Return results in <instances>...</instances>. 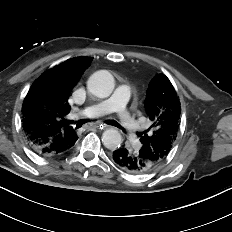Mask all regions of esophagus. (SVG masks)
<instances>
[{"instance_id":"obj_1","label":"esophagus","mask_w":232,"mask_h":232,"mask_svg":"<svg viewBox=\"0 0 232 232\" xmlns=\"http://www.w3.org/2000/svg\"><path fill=\"white\" fill-rule=\"evenodd\" d=\"M92 127L102 130V129L108 128L109 126L106 125V124L95 123V124L92 125Z\"/></svg>"}]
</instances>
